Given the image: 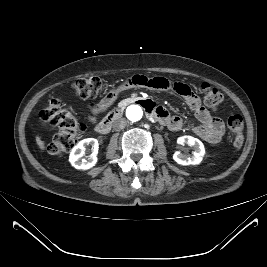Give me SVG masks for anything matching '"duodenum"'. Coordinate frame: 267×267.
I'll list each match as a JSON object with an SVG mask.
<instances>
[{"label":"duodenum","instance_id":"1","mask_svg":"<svg viewBox=\"0 0 267 267\" xmlns=\"http://www.w3.org/2000/svg\"><path fill=\"white\" fill-rule=\"evenodd\" d=\"M130 103H139V104L143 105L148 110V112L150 113V115L153 118L158 119V120L160 119V114H159L158 108L155 107V105L151 101L129 99L127 101V104H130ZM122 111H123V106L117 107L107 117H105L102 121H100L96 125L95 131L98 134H107L111 130V127H112L114 121L121 116Z\"/></svg>","mask_w":267,"mask_h":267}]
</instances>
